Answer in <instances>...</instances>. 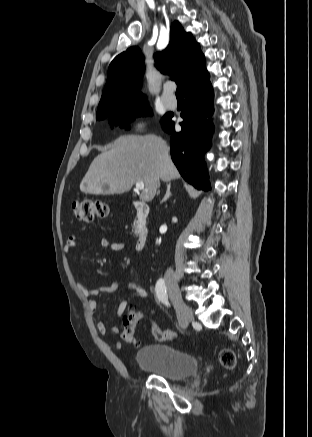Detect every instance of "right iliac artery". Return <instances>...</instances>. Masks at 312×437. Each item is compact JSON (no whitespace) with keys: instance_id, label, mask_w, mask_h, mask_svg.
<instances>
[{"instance_id":"82829eb1","label":"right iliac artery","mask_w":312,"mask_h":437,"mask_svg":"<svg viewBox=\"0 0 312 437\" xmlns=\"http://www.w3.org/2000/svg\"><path fill=\"white\" fill-rule=\"evenodd\" d=\"M155 292L158 300L168 306V296L164 279L160 278L157 281Z\"/></svg>"}]
</instances>
